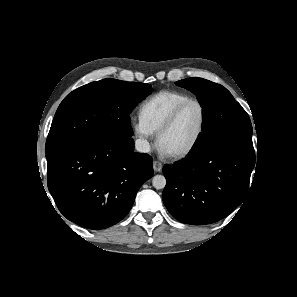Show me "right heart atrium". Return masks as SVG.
I'll return each instance as SVG.
<instances>
[{
  "mask_svg": "<svg viewBox=\"0 0 297 297\" xmlns=\"http://www.w3.org/2000/svg\"><path fill=\"white\" fill-rule=\"evenodd\" d=\"M132 129L139 140L141 148L148 150L153 132L140 117L132 120Z\"/></svg>",
  "mask_w": 297,
  "mask_h": 297,
  "instance_id": "1",
  "label": "right heart atrium"
}]
</instances>
